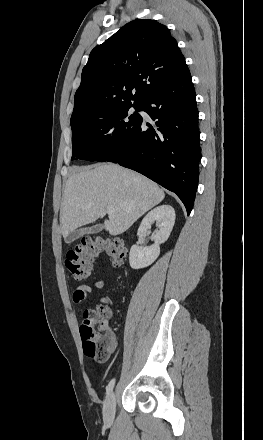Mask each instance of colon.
<instances>
[{
    "label": "colon",
    "mask_w": 263,
    "mask_h": 440,
    "mask_svg": "<svg viewBox=\"0 0 263 440\" xmlns=\"http://www.w3.org/2000/svg\"><path fill=\"white\" fill-rule=\"evenodd\" d=\"M126 249L119 238L100 240L84 238L80 245L67 254L66 268L72 277L81 281L89 277L93 263L101 256L107 255L112 265L120 268L124 264ZM110 310L100 304L84 313L80 326L84 354L91 359L103 361L115 343L113 333L107 327Z\"/></svg>",
    "instance_id": "colon-1"
}]
</instances>
